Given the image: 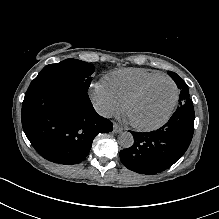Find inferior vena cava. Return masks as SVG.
<instances>
[{
    "label": "inferior vena cava",
    "mask_w": 219,
    "mask_h": 219,
    "mask_svg": "<svg viewBox=\"0 0 219 219\" xmlns=\"http://www.w3.org/2000/svg\"><path fill=\"white\" fill-rule=\"evenodd\" d=\"M98 112L104 117H111L109 110L104 106L99 107Z\"/></svg>",
    "instance_id": "1"
}]
</instances>
